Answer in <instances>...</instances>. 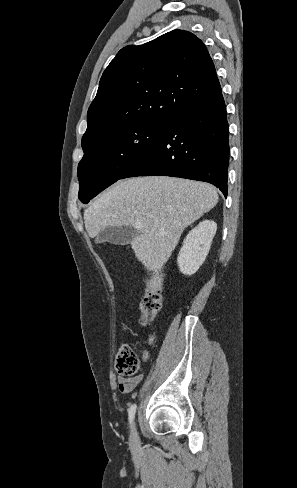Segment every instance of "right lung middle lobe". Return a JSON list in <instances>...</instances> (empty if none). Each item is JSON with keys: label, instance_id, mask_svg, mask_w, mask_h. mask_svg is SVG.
<instances>
[{"label": "right lung middle lobe", "instance_id": "1", "mask_svg": "<svg viewBox=\"0 0 297 488\" xmlns=\"http://www.w3.org/2000/svg\"><path fill=\"white\" fill-rule=\"evenodd\" d=\"M170 121L152 120L115 130L84 150L78 164L79 199L84 204L121 179L157 141Z\"/></svg>", "mask_w": 297, "mask_h": 488}]
</instances>
